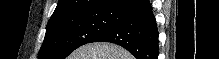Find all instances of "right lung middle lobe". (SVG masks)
<instances>
[{"label": "right lung middle lobe", "mask_w": 219, "mask_h": 59, "mask_svg": "<svg viewBox=\"0 0 219 59\" xmlns=\"http://www.w3.org/2000/svg\"><path fill=\"white\" fill-rule=\"evenodd\" d=\"M121 19L120 14L112 8L49 20L38 59H64L78 47L91 43Z\"/></svg>", "instance_id": "right-lung-middle-lobe-1"}]
</instances>
